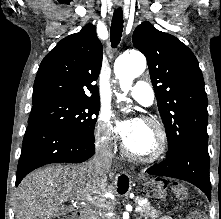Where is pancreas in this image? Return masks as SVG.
<instances>
[{
	"instance_id": "cf45deb5",
	"label": "pancreas",
	"mask_w": 221,
	"mask_h": 219,
	"mask_svg": "<svg viewBox=\"0 0 221 219\" xmlns=\"http://www.w3.org/2000/svg\"><path fill=\"white\" fill-rule=\"evenodd\" d=\"M143 198L137 197L135 198V204L137 207L140 208L138 213L140 214L141 217H144L145 219L151 218V219H156L159 216H161V212L159 210L154 209L153 207L150 206L149 203H142ZM91 219H99L98 216H93Z\"/></svg>"
}]
</instances>
